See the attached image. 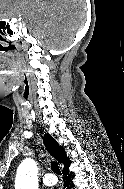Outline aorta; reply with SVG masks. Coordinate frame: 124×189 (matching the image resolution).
Segmentation results:
<instances>
[{
  "mask_svg": "<svg viewBox=\"0 0 124 189\" xmlns=\"http://www.w3.org/2000/svg\"><path fill=\"white\" fill-rule=\"evenodd\" d=\"M38 169L36 162L24 159L17 169L15 189H38Z\"/></svg>",
  "mask_w": 124,
  "mask_h": 189,
  "instance_id": "aorta-1",
  "label": "aorta"
}]
</instances>
